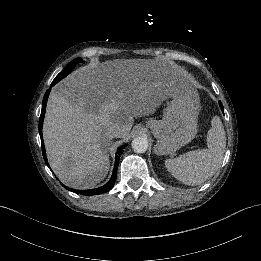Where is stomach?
Masks as SVG:
<instances>
[{
  "mask_svg": "<svg viewBox=\"0 0 261 261\" xmlns=\"http://www.w3.org/2000/svg\"><path fill=\"white\" fill-rule=\"evenodd\" d=\"M161 120L149 119L145 126L152 130L157 155H172L191 142L197 133L200 99L192 86H187L172 96Z\"/></svg>",
  "mask_w": 261,
  "mask_h": 261,
  "instance_id": "0dacf381",
  "label": "stomach"
}]
</instances>
